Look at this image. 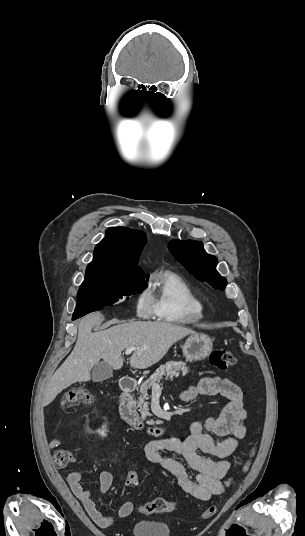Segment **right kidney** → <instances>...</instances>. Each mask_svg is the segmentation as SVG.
I'll return each instance as SVG.
<instances>
[{"instance_id":"ca27d5eb","label":"right kidney","mask_w":305,"mask_h":536,"mask_svg":"<svg viewBox=\"0 0 305 536\" xmlns=\"http://www.w3.org/2000/svg\"><path fill=\"white\" fill-rule=\"evenodd\" d=\"M98 432H100V434H102V436H105L104 430H98Z\"/></svg>"}]
</instances>
